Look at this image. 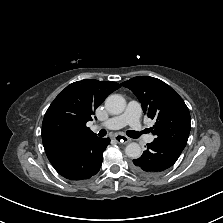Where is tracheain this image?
<instances>
[{"mask_svg":"<svg viewBox=\"0 0 223 223\" xmlns=\"http://www.w3.org/2000/svg\"><path fill=\"white\" fill-rule=\"evenodd\" d=\"M105 135H106V130L103 129L99 132V136H105ZM127 135L132 138H136L139 136V134L137 132L131 131V130L127 131Z\"/></svg>","mask_w":223,"mask_h":223,"instance_id":"obj_1","label":"trachea"}]
</instances>
